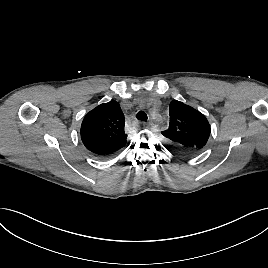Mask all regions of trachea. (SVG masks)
<instances>
[{"label": "trachea", "instance_id": "obj_1", "mask_svg": "<svg viewBox=\"0 0 268 268\" xmlns=\"http://www.w3.org/2000/svg\"><path fill=\"white\" fill-rule=\"evenodd\" d=\"M136 117L138 120L147 121V114L144 111H139Z\"/></svg>", "mask_w": 268, "mask_h": 268}]
</instances>
